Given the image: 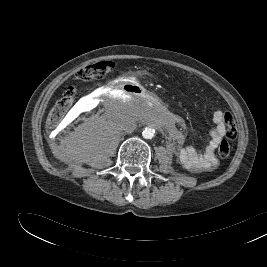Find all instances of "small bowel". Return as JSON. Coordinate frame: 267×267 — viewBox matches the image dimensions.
<instances>
[{"mask_svg": "<svg viewBox=\"0 0 267 267\" xmlns=\"http://www.w3.org/2000/svg\"><path fill=\"white\" fill-rule=\"evenodd\" d=\"M227 115L228 113H225L221 110H215L213 112L212 120L214 126L209 132V142L203 150L194 148L192 146H184L177 151V158L186 169L194 172H201L212 170L217 167L218 160L215 156V150L217 149L221 140L227 134ZM170 128L171 134L176 138H180V134L174 128L173 123L170 124Z\"/></svg>", "mask_w": 267, "mask_h": 267, "instance_id": "small-bowel-1", "label": "small bowel"}]
</instances>
